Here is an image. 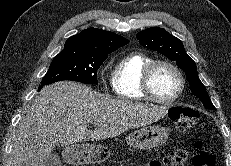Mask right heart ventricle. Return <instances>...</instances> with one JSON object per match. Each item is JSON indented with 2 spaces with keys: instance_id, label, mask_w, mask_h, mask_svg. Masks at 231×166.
<instances>
[{
  "instance_id": "1",
  "label": "right heart ventricle",
  "mask_w": 231,
  "mask_h": 166,
  "mask_svg": "<svg viewBox=\"0 0 231 166\" xmlns=\"http://www.w3.org/2000/svg\"><path fill=\"white\" fill-rule=\"evenodd\" d=\"M153 59L142 52H130L124 55L115 65L111 84L117 98L139 101L147 99L141 88L144 68Z\"/></svg>"
}]
</instances>
